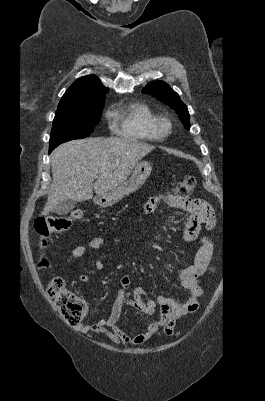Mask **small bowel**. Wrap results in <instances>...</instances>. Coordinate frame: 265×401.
<instances>
[{
    "label": "small bowel",
    "instance_id": "obj_1",
    "mask_svg": "<svg viewBox=\"0 0 265 401\" xmlns=\"http://www.w3.org/2000/svg\"><path fill=\"white\" fill-rule=\"evenodd\" d=\"M160 203H165L169 207L186 212L189 214L183 239L186 242L199 239L201 247L195 258V263L182 269L178 274V280L184 290L188 292V298L180 301L175 298L158 296L155 300L147 298L145 292L140 287L129 288L131 279L125 275L121 279L122 289L119 291L113 303L111 312L107 318L89 324H79L77 330L83 333L96 332L107 336L115 344L141 345L150 340L158 330L166 323L174 328L175 322L183 316L193 313L198 309V298L202 295V288L199 279L212 269L214 258V246L212 241L206 236H200L203 229L210 230L215 224V212L212 205L201 198L180 197L172 194H161L152 197L145 205L146 213L152 212ZM114 242H119V238H114ZM106 238L97 236L92 240L75 247L69 257L67 264L82 257L86 252L100 249ZM94 265L97 269L104 267L102 259H95ZM94 276L82 274L79 277L81 283L92 280ZM125 304L134 307L138 312L151 316L155 313L157 306L161 307V318L158 321H150L144 324L142 330L126 332L117 326L121 316L122 308Z\"/></svg>",
    "mask_w": 265,
    "mask_h": 401
}]
</instances>
